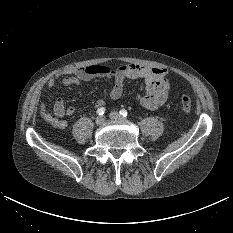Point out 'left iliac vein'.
<instances>
[{
	"label": "left iliac vein",
	"mask_w": 233,
	"mask_h": 233,
	"mask_svg": "<svg viewBox=\"0 0 233 233\" xmlns=\"http://www.w3.org/2000/svg\"><path fill=\"white\" fill-rule=\"evenodd\" d=\"M109 117L112 119V120H123L124 118L118 113V112H111L109 114Z\"/></svg>",
	"instance_id": "4c4485c4"
}]
</instances>
